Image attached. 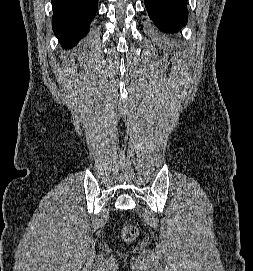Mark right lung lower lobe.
<instances>
[{
    "label": "right lung lower lobe",
    "instance_id": "98d812e1",
    "mask_svg": "<svg viewBox=\"0 0 253 271\" xmlns=\"http://www.w3.org/2000/svg\"><path fill=\"white\" fill-rule=\"evenodd\" d=\"M51 1L53 30L64 48L72 47L87 34L98 8L97 0Z\"/></svg>",
    "mask_w": 253,
    "mask_h": 271
}]
</instances>
